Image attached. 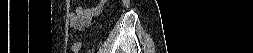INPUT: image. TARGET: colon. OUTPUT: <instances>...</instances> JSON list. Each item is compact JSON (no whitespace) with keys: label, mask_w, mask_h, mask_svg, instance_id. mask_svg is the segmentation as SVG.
I'll list each match as a JSON object with an SVG mask.
<instances>
[{"label":"colon","mask_w":253,"mask_h":53,"mask_svg":"<svg viewBox=\"0 0 253 53\" xmlns=\"http://www.w3.org/2000/svg\"><path fill=\"white\" fill-rule=\"evenodd\" d=\"M82 48V42L81 41H75L72 45V51L74 53H79Z\"/></svg>","instance_id":"colon-1"}]
</instances>
